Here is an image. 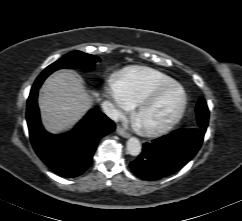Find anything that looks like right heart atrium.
Here are the masks:
<instances>
[{
	"mask_svg": "<svg viewBox=\"0 0 242 221\" xmlns=\"http://www.w3.org/2000/svg\"><path fill=\"white\" fill-rule=\"evenodd\" d=\"M106 94L114 103L115 109L112 113V116L118 117L123 112L129 111L131 109V105L120 92L115 81L109 84V86L106 89Z\"/></svg>",
	"mask_w": 242,
	"mask_h": 221,
	"instance_id": "d8ad5b80",
	"label": "right heart atrium"
}]
</instances>
